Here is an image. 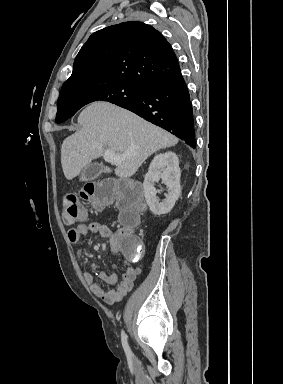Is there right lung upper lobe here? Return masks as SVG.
Masks as SVG:
<instances>
[{"mask_svg": "<svg viewBox=\"0 0 283 384\" xmlns=\"http://www.w3.org/2000/svg\"><path fill=\"white\" fill-rule=\"evenodd\" d=\"M180 72L167 40L152 26L132 21L93 33L79 51L62 88L109 81L146 87Z\"/></svg>", "mask_w": 283, "mask_h": 384, "instance_id": "cb5924a9", "label": "right lung upper lobe"}]
</instances>
